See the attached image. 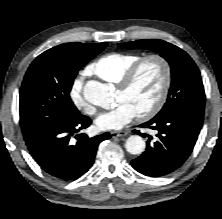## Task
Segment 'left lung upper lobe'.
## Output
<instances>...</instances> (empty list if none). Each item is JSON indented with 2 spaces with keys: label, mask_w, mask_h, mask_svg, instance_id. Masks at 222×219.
I'll return each instance as SVG.
<instances>
[{
  "label": "left lung upper lobe",
  "mask_w": 222,
  "mask_h": 219,
  "mask_svg": "<svg viewBox=\"0 0 222 219\" xmlns=\"http://www.w3.org/2000/svg\"><path fill=\"white\" fill-rule=\"evenodd\" d=\"M118 45L125 49L153 50L169 63L172 82L168 99L155 117L163 116L174 110L189 111L200 116L204 115L205 92L200 71L185 51L159 39L136 40Z\"/></svg>",
  "instance_id": "left-lung-upper-lobe-1"
}]
</instances>
